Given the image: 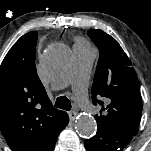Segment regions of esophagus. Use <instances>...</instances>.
<instances>
[{"mask_svg":"<svg viewBox=\"0 0 151 151\" xmlns=\"http://www.w3.org/2000/svg\"><path fill=\"white\" fill-rule=\"evenodd\" d=\"M77 116V112L75 110L69 112V117H70V120H74Z\"/></svg>","mask_w":151,"mask_h":151,"instance_id":"obj_1","label":"esophagus"}]
</instances>
